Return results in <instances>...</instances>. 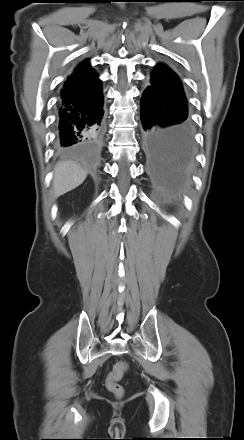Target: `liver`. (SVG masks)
<instances>
[{"label":"liver","mask_w":244,"mask_h":440,"mask_svg":"<svg viewBox=\"0 0 244 440\" xmlns=\"http://www.w3.org/2000/svg\"><path fill=\"white\" fill-rule=\"evenodd\" d=\"M87 171L72 161L58 162L54 167L53 195L55 198L75 189L83 183Z\"/></svg>","instance_id":"6515ba94"}]
</instances>
